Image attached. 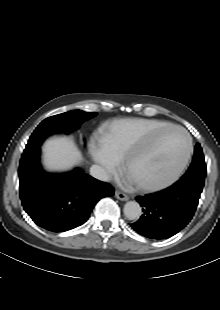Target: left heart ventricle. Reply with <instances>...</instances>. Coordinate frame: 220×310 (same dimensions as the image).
<instances>
[{"mask_svg":"<svg viewBox=\"0 0 220 310\" xmlns=\"http://www.w3.org/2000/svg\"><path fill=\"white\" fill-rule=\"evenodd\" d=\"M186 149L184 134L168 130L161 135L153 150L132 161L128 174L136 182L154 184L164 181L179 167Z\"/></svg>","mask_w":220,"mask_h":310,"instance_id":"b2bd125f","label":"left heart ventricle"}]
</instances>
